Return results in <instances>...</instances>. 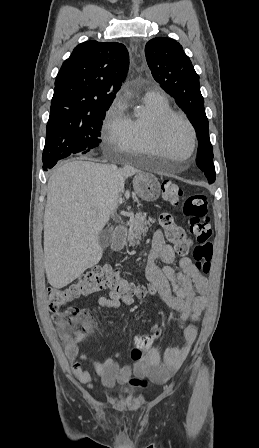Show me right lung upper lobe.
I'll return each mask as SVG.
<instances>
[{
	"label": "right lung upper lobe",
	"instance_id": "1",
	"mask_svg": "<svg viewBox=\"0 0 259 448\" xmlns=\"http://www.w3.org/2000/svg\"><path fill=\"white\" fill-rule=\"evenodd\" d=\"M129 67L126 47L89 40L76 46L55 81L51 113H78L109 107Z\"/></svg>",
	"mask_w": 259,
	"mask_h": 448
}]
</instances>
